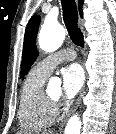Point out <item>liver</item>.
<instances>
[{
	"label": "liver",
	"mask_w": 116,
	"mask_h": 134,
	"mask_svg": "<svg viewBox=\"0 0 116 134\" xmlns=\"http://www.w3.org/2000/svg\"><path fill=\"white\" fill-rule=\"evenodd\" d=\"M47 134H52V132H49V133H47Z\"/></svg>",
	"instance_id": "liver-1"
}]
</instances>
